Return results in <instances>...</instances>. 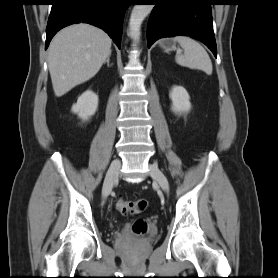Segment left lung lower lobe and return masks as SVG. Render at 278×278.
<instances>
[{"label": "left lung lower lobe", "mask_w": 278, "mask_h": 278, "mask_svg": "<svg viewBox=\"0 0 278 278\" xmlns=\"http://www.w3.org/2000/svg\"><path fill=\"white\" fill-rule=\"evenodd\" d=\"M155 7L147 27L148 47L157 39L190 36L217 57L211 5L213 0H150Z\"/></svg>", "instance_id": "obj_1"}]
</instances>
